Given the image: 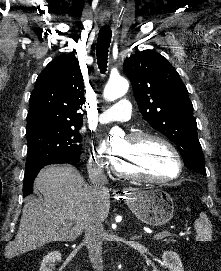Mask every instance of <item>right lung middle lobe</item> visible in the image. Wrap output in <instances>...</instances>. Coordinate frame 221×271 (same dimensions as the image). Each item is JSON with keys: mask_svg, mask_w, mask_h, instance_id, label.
I'll use <instances>...</instances> for the list:
<instances>
[{"mask_svg": "<svg viewBox=\"0 0 221 271\" xmlns=\"http://www.w3.org/2000/svg\"><path fill=\"white\" fill-rule=\"evenodd\" d=\"M78 128L40 126L26 131V167L50 163H76L81 153Z\"/></svg>", "mask_w": 221, "mask_h": 271, "instance_id": "dd1d6c3e", "label": "right lung middle lobe"}]
</instances>
